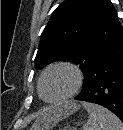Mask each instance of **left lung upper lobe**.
Wrapping results in <instances>:
<instances>
[{"mask_svg":"<svg viewBox=\"0 0 123 130\" xmlns=\"http://www.w3.org/2000/svg\"><path fill=\"white\" fill-rule=\"evenodd\" d=\"M121 29L110 0H65L41 34L35 68L71 61L80 65L85 81L95 59Z\"/></svg>","mask_w":123,"mask_h":130,"instance_id":"left-lung-upper-lobe-1","label":"left lung upper lobe"}]
</instances>
